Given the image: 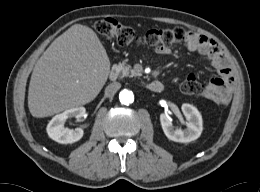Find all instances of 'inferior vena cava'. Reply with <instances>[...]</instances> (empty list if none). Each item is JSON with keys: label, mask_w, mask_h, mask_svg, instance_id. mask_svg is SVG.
I'll list each match as a JSON object with an SVG mask.
<instances>
[{"label": "inferior vena cava", "mask_w": 260, "mask_h": 192, "mask_svg": "<svg viewBox=\"0 0 260 192\" xmlns=\"http://www.w3.org/2000/svg\"><path fill=\"white\" fill-rule=\"evenodd\" d=\"M120 88L121 84L119 82L110 83L105 89V95L112 97Z\"/></svg>", "instance_id": "602c4592"}]
</instances>
